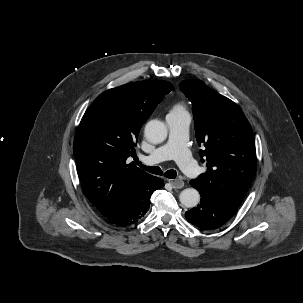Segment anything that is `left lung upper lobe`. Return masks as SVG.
I'll return each instance as SVG.
<instances>
[{"instance_id":"left-lung-upper-lobe-1","label":"left lung upper lobe","mask_w":303,"mask_h":303,"mask_svg":"<svg viewBox=\"0 0 303 303\" xmlns=\"http://www.w3.org/2000/svg\"><path fill=\"white\" fill-rule=\"evenodd\" d=\"M181 91L192 102L196 139L208 171L192 180L240 206L256 172L252 128L236 103L200 80H184Z\"/></svg>"}]
</instances>
